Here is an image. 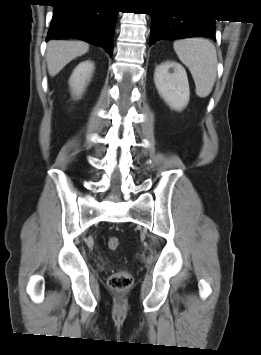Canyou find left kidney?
Returning a JSON list of instances; mask_svg holds the SVG:
<instances>
[{
  "label": "left kidney",
  "instance_id": "5707ae66",
  "mask_svg": "<svg viewBox=\"0 0 261 355\" xmlns=\"http://www.w3.org/2000/svg\"><path fill=\"white\" fill-rule=\"evenodd\" d=\"M154 82L160 96L174 110L181 111L189 102L187 73L182 65L167 61L156 67Z\"/></svg>",
  "mask_w": 261,
  "mask_h": 355
}]
</instances>
